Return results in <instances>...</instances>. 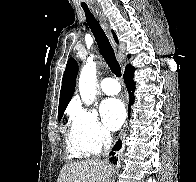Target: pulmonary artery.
Returning <instances> with one entry per match:
<instances>
[{
    "mask_svg": "<svg viewBox=\"0 0 196 182\" xmlns=\"http://www.w3.org/2000/svg\"><path fill=\"white\" fill-rule=\"evenodd\" d=\"M101 90L107 95H116L120 92L121 87L114 77H106L102 80Z\"/></svg>",
    "mask_w": 196,
    "mask_h": 182,
    "instance_id": "obj_1",
    "label": "pulmonary artery"
}]
</instances>
